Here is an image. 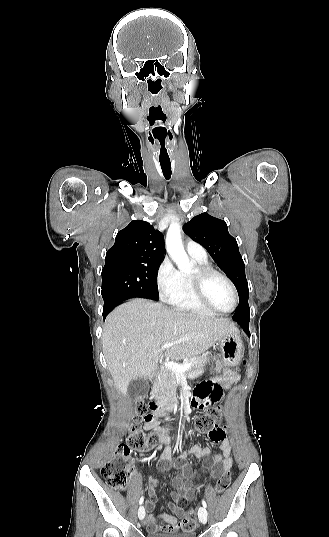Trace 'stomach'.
I'll list each match as a JSON object with an SVG mask.
<instances>
[{
    "label": "stomach",
    "instance_id": "stomach-1",
    "mask_svg": "<svg viewBox=\"0 0 329 537\" xmlns=\"http://www.w3.org/2000/svg\"><path fill=\"white\" fill-rule=\"evenodd\" d=\"M219 348L224 364L228 367H235L240 363L243 351V343L239 331L226 334L219 341ZM209 363V359L207 361Z\"/></svg>",
    "mask_w": 329,
    "mask_h": 537
}]
</instances>
